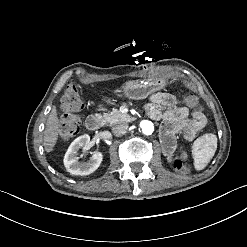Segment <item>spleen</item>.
Masks as SVG:
<instances>
[{
    "instance_id": "1",
    "label": "spleen",
    "mask_w": 247,
    "mask_h": 247,
    "mask_svg": "<svg viewBox=\"0 0 247 247\" xmlns=\"http://www.w3.org/2000/svg\"><path fill=\"white\" fill-rule=\"evenodd\" d=\"M202 139L204 140L203 144L200 147L195 145L193 149L196 170H202L206 167L211 158L212 148L215 151L217 146V137L214 134L205 135Z\"/></svg>"
}]
</instances>
